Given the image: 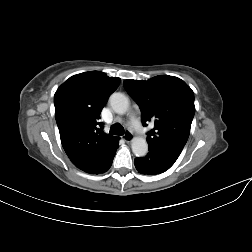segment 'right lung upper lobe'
<instances>
[{"instance_id": "obj_1", "label": "right lung upper lobe", "mask_w": 252, "mask_h": 252, "mask_svg": "<svg viewBox=\"0 0 252 252\" xmlns=\"http://www.w3.org/2000/svg\"><path fill=\"white\" fill-rule=\"evenodd\" d=\"M120 78L91 71L70 77L54 95L55 118L62 146L82 171L98 174L110 159L112 145L119 137L103 132L100 113Z\"/></svg>"}]
</instances>
